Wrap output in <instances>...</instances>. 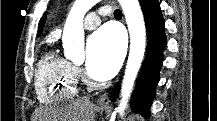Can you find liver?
Segmentation results:
<instances>
[{
    "label": "liver",
    "mask_w": 217,
    "mask_h": 121,
    "mask_svg": "<svg viewBox=\"0 0 217 121\" xmlns=\"http://www.w3.org/2000/svg\"><path fill=\"white\" fill-rule=\"evenodd\" d=\"M95 105L87 99H77L56 107L40 110L39 121H94Z\"/></svg>",
    "instance_id": "liver-1"
}]
</instances>
